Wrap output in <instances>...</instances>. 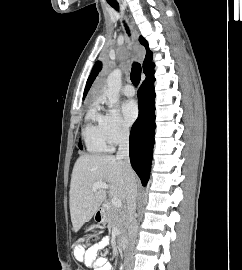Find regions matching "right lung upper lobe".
Here are the masks:
<instances>
[{
    "instance_id": "1",
    "label": "right lung upper lobe",
    "mask_w": 242,
    "mask_h": 270,
    "mask_svg": "<svg viewBox=\"0 0 242 270\" xmlns=\"http://www.w3.org/2000/svg\"><path fill=\"white\" fill-rule=\"evenodd\" d=\"M139 41L146 48V57H145L144 62H143V71L147 75L154 68V64L152 63V52L149 50L148 43H147V41L143 37H140L139 38ZM100 70H101V63L100 62H97L95 64V66H94V68H93V70H92V72H91L88 80H87L83 97L86 96V94H87V92H88V90H89L92 82L94 81V79L96 78V76H97V74L99 73Z\"/></svg>"
}]
</instances>
